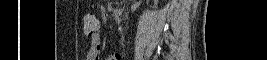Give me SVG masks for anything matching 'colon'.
Masks as SVG:
<instances>
[{
  "label": "colon",
  "instance_id": "obj_1",
  "mask_svg": "<svg viewBox=\"0 0 267 60\" xmlns=\"http://www.w3.org/2000/svg\"><path fill=\"white\" fill-rule=\"evenodd\" d=\"M98 21L97 18L92 14L84 16V31L87 35H93L97 32Z\"/></svg>",
  "mask_w": 267,
  "mask_h": 60
}]
</instances>
